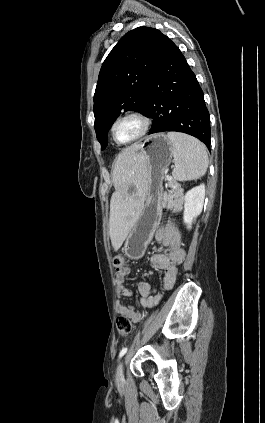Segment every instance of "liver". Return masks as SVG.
<instances>
[{"label":"liver","instance_id":"liver-1","mask_svg":"<svg viewBox=\"0 0 265 423\" xmlns=\"http://www.w3.org/2000/svg\"><path fill=\"white\" fill-rule=\"evenodd\" d=\"M139 150V144L123 150L113 168L115 192L110 201L109 235L115 251L122 246L134 226L148 190L145 159ZM130 187L136 192L129 193Z\"/></svg>","mask_w":265,"mask_h":423}]
</instances>
